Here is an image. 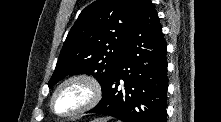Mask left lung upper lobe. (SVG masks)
<instances>
[{
	"label": "left lung upper lobe",
	"mask_w": 221,
	"mask_h": 122,
	"mask_svg": "<svg viewBox=\"0 0 221 122\" xmlns=\"http://www.w3.org/2000/svg\"><path fill=\"white\" fill-rule=\"evenodd\" d=\"M141 0H97L68 33L49 88L66 76L93 75L106 90L136 20Z\"/></svg>",
	"instance_id": "obj_1"
}]
</instances>
